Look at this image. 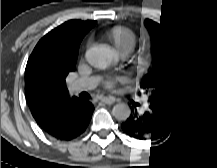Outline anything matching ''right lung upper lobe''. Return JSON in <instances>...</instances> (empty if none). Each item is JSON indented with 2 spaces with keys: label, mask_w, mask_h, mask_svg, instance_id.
<instances>
[{
  "label": "right lung upper lobe",
  "mask_w": 217,
  "mask_h": 168,
  "mask_svg": "<svg viewBox=\"0 0 217 168\" xmlns=\"http://www.w3.org/2000/svg\"><path fill=\"white\" fill-rule=\"evenodd\" d=\"M95 24V21H67L35 46L25 69V95L35 119L71 100L65 78L75 68L83 37Z\"/></svg>",
  "instance_id": "cb5924a9"
}]
</instances>
